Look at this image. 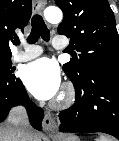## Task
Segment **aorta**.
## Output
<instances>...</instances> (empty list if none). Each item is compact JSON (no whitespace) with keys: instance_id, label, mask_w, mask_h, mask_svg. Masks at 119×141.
<instances>
[{"instance_id":"aorta-1","label":"aorta","mask_w":119,"mask_h":141,"mask_svg":"<svg viewBox=\"0 0 119 141\" xmlns=\"http://www.w3.org/2000/svg\"><path fill=\"white\" fill-rule=\"evenodd\" d=\"M44 15L46 20L52 24L60 23L63 18L62 11L56 7L46 9Z\"/></svg>"}]
</instances>
